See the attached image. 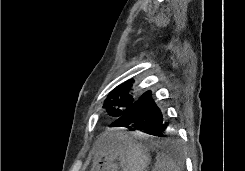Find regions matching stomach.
<instances>
[{
    "instance_id": "obj_1",
    "label": "stomach",
    "mask_w": 245,
    "mask_h": 171,
    "mask_svg": "<svg viewBox=\"0 0 245 171\" xmlns=\"http://www.w3.org/2000/svg\"><path fill=\"white\" fill-rule=\"evenodd\" d=\"M150 150L137 133H109L101 139L90 171H147Z\"/></svg>"
}]
</instances>
